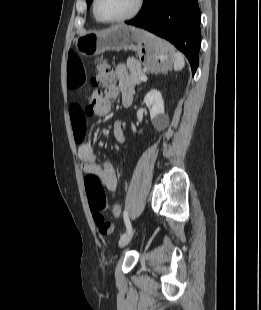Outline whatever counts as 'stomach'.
<instances>
[{"instance_id":"stomach-1","label":"stomach","mask_w":261,"mask_h":310,"mask_svg":"<svg viewBox=\"0 0 261 310\" xmlns=\"http://www.w3.org/2000/svg\"><path fill=\"white\" fill-rule=\"evenodd\" d=\"M75 46L85 56H95L109 50L136 51L140 65L152 73L168 72L175 58V50L168 42L144 30L122 24L79 36Z\"/></svg>"}]
</instances>
